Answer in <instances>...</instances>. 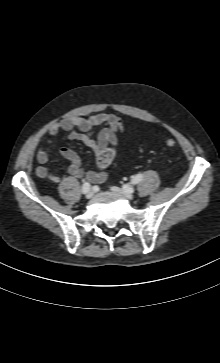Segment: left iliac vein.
<instances>
[{
  "label": "left iliac vein",
  "mask_w": 220,
  "mask_h": 363,
  "mask_svg": "<svg viewBox=\"0 0 220 363\" xmlns=\"http://www.w3.org/2000/svg\"><path fill=\"white\" fill-rule=\"evenodd\" d=\"M112 190L114 192L118 193L119 195L123 196L127 200H133V198H134L132 188L125 190V189H120V188L114 187V188H112Z\"/></svg>",
  "instance_id": "4c4485c4"
}]
</instances>
